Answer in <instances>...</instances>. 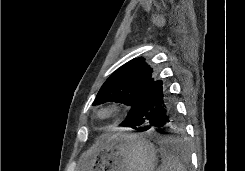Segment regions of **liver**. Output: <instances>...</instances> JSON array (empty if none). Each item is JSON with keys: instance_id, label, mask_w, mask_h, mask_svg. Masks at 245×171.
I'll return each instance as SVG.
<instances>
[{"instance_id": "obj_1", "label": "liver", "mask_w": 245, "mask_h": 171, "mask_svg": "<svg viewBox=\"0 0 245 171\" xmlns=\"http://www.w3.org/2000/svg\"><path fill=\"white\" fill-rule=\"evenodd\" d=\"M110 138V136L109 135H105V136H103L101 139H100V141L97 143V145L95 146V148L97 147V146H99V145H102L106 140H108Z\"/></svg>"}]
</instances>
